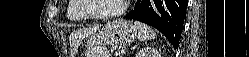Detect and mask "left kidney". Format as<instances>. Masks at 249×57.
Listing matches in <instances>:
<instances>
[{
	"mask_svg": "<svg viewBox=\"0 0 249 57\" xmlns=\"http://www.w3.org/2000/svg\"><path fill=\"white\" fill-rule=\"evenodd\" d=\"M136 57H161V55L156 49L145 47L136 54Z\"/></svg>",
	"mask_w": 249,
	"mask_h": 57,
	"instance_id": "1",
	"label": "left kidney"
}]
</instances>
